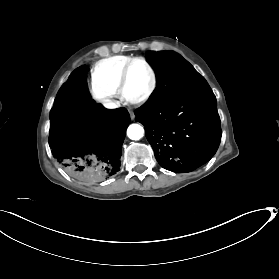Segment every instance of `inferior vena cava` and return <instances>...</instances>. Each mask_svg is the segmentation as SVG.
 I'll return each instance as SVG.
<instances>
[{"instance_id":"obj_1","label":"inferior vena cava","mask_w":279,"mask_h":279,"mask_svg":"<svg viewBox=\"0 0 279 279\" xmlns=\"http://www.w3.org/2000/svg\"><path fill=\"white\" fill-rule=\"evenodd\" d=\"M104 101H105L104 106L106 108L112 109V108H117L118 107V105H116V104H118L117 102L114 103L112 100H109V99H107V100L104 99Z\"/></svg>"}]
</instances>
